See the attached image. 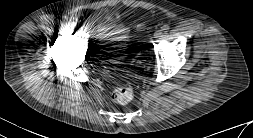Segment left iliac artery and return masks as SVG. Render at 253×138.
Segmentation results:
<instances>
[{"instance_id":"obj_1","label":"left iliac artery","mask_w":253,"mask_h":138,"mask_svg":"<svg viewBox=\"0 0 253 138\" xmlns=\"http://www.w3.org/2000/svg\"><path fill=\"white\" fill-rule=\"evenodd\" d=\"M169 29V26L168 25H164L163 27H162V31H167Z\"/></svg>"}]
</instances>
